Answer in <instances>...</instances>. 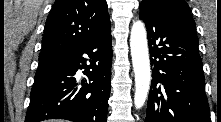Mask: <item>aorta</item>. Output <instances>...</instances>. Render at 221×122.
<instances>
[{
	"label": "aorta",
	"instance_id": "obj_1",
	"mask_svg": "<svg viewBox=\"0 0 221 122\" xmlns=\"http://www.w3.org/2000/svg\"><path fill=\"white\" fill-rule=\"evenodd\" d=\"M130 49L135 74L134 104L139 109L146 101L151 82L147 35L145 26L141 21L133 23L130 35Z\"/></svg>",
	"mask_w": 221,
	"mask_h": 122
}]
</instances>
